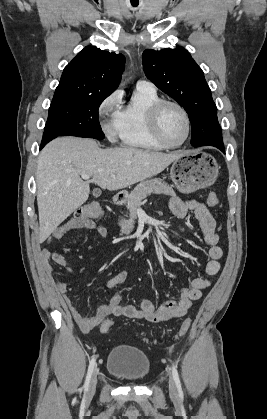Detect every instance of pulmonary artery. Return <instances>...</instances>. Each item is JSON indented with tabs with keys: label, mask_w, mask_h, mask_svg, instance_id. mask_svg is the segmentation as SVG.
Segmentation results:
<instances>
[{
	"label": "pulmonary artery",
	"mask_w": 267,
	"mask_h": 419,
	"mask_svg": "<svg viewBox=\"0 0 267 419\" xmlns=\"http://www.w3.org/2000/svg\"><path fill=\"white\" fill-rule=\"evenodd\" d=\"M136 87L143 88V89H155L154 85L151 82L146 81V80H139L137 82Z\"/></svg>",
	"instance_id": "obj_1"
}]
</instances>
